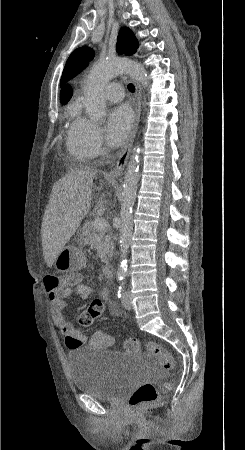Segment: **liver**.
I'll return each instance as SVG.
<instances>
[{
	"label": "liver",
	"mask_w": 245,
	"mask_h": 450,
	"mask_svg": "<svg viewBox=\"0 0 245 450\" xmlns=\"http://www.w3.org/2000/svg\"><path fill=\"white\" fill-rule=\"evenodd\" d=\"M95 173L94 169H73L53 185L41 228L43 255L48 267H52L88 214Z\"/></svg>",
	"instance_id": "obj_1"
}]
</instances>
